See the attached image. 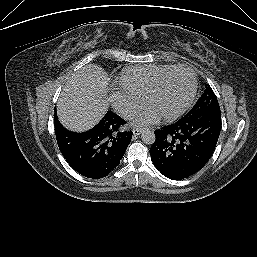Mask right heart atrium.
I'll return each mask as SVG.
<instances>
[{
    "mask_svg": "<svg viewBox=\"0 0 257 257\" xmlns=\"http://www.w3.org/2000/svg\"><path fill=\"white\" fill-rule=\"evenodd\" d=\"M113 107L124 118L132 117L143 105V99L125 90L114 92L111 96Z\"/></svg>",
    "mask_w": 257,
    "mask_h": 257,
    "instance_id": "1",
    "label": "right heart atrium"
}]
</instances>
